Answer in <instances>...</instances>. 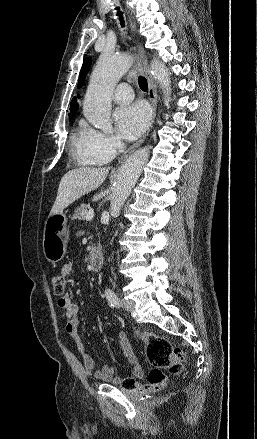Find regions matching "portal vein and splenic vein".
I'll use <instances>...</instances> for the list:
<instances>
[{
    "label": "portal vein and splenic vein",
    "mask_w": 257,
    "mask_h": 439,
    "mask_svg": "<svg viewBox=\"0 0 257 439\" xmlns=\"http://www.w3.org/2000/svg\"><path fill=\"white\" fill-rule=\"evenodd\" d=\"M93 216H94V211H93V210H89V211L86 213L85 219H86L87 221H89V220H91V219L93 218Z\"/></svg>",
    "instance_id": "1"
}]
</instances>
